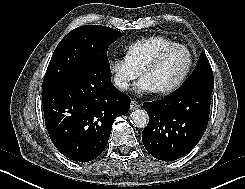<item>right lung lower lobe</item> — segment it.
Instances as JSON below:
<instances>
[{"label":"right lung lower lobe","instance_id":"right-lung-lower-lobe-1","mask_svg":"<svg viewBox=\"0 0 245 189\" xmlns=\"http://www.w3.org/2000/svg\"><path fill=\"white\" fill-rule=\"evenodd\" d=\"M49 136L67 158L88 162L106 147L115 118L126 114L130 98L111 83L110 68L90 67L43 90Z\"/></svg>","mask_w":245,"mask_h":189}]
</instances>
